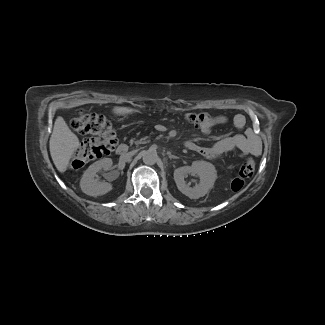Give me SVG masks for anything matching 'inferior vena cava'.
I'll list each match as a JSON object with an SVG mask.
<instances>
[{"label": "inferior vena cava", "instance_id": "602c4592", "mask_svg": "<svg viewBox=\"0 0 325 325\" xmlns=\"http://www.w3.org/2000/svg\"><path fill=\"white\" fill-rule=\"evenodd\" d=\"M131 158V154H125L122 159L129 160Z\"/></svg>", "mask_w": 325, "mask_h": 325}]
</instances>
